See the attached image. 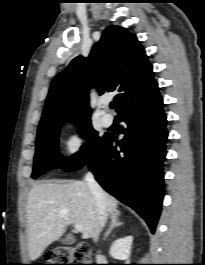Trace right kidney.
Returning a JSON list of instances; mask_svg holds the SVG:
<instances>
[{"label":"right kidney","instance_id":"ca27d5eb","mask_svg":"<svg viewBox=\"0 0 205 265\" xmlns=\"http://www.w3.org/2000/svg\"><path fill=\"white\" fill-rule=\"evenodd\" d=\"M132 241V236H127L125 238H119L115 240L110 247L109 254L114 259L125 260L126 264H130L129 258L131 254Z\"/></svg>","mask_w":205,"mask_h":265}]
</instances>
